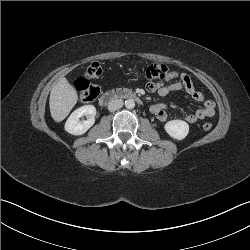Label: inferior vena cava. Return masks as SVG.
<instances>
[{
	"label": "inferior vena cava",
	"instance_id": "inferior-vena-cava-1",
	"mask_svg": "<svg viewBox=\"0 0 250 250\" xmlns=\"http://www.w3.org/2000/svg\"><path fill=\"white\" fill-rule=\"evenodd\" d=\"M124 102L121 99H113L108 104V110L114 112L123 106Z\"/></svg>",
	"mask_w": 250,
	"mask_h": 250
}]
</instances>
